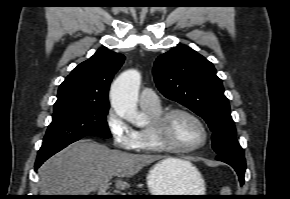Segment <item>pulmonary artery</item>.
<instances>
[{
	"label": "pulmonary artery",
	"instance_id": "pulmonary-artery-1",
	"mask_svg": "<svg viewBox=\"0 0 290 199\" xmlns=\"http://www.w3.org/2000/svg\"><path fill=\"white\" fill-rule=\"evenodd\" d=\"M139 104L142 108L158 109L160 108V99L150 88H144L139 95Z\"/></svg>",
	"mask_w": 290,
	"mask_h": 199
}]
</instances>
